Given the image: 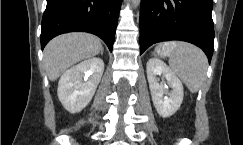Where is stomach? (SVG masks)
<instances>
[{"label":"stomach","instance_id":"stomach-1","mask_svg":"<svg viewBox=\"0 0 243 145\" xmlns=\"http://www.w3.org/2000/svg\"><path fill=\"white\" fill-rule=\"evenodd\" d=\"M172 43H164L156 47V53L162 57L172 55Z\"/></svg>","mask_w":243,"mask_h":145}]
</instances>
